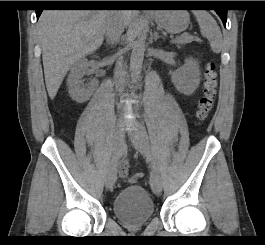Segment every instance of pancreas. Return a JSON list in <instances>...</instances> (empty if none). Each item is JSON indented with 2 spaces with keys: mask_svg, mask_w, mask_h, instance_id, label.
I'll return each instance as SVG.
<instances>
[{
  "mask_svg": "<svg viewBox=\"0 0 265 245\" xmlns=\"http://www.w3.org/2000/svg\"><path fill=\"white\" fill-rule=\"evenodd\" d=\"M194 38L181 37L175 43L177 44H187L193 41Z\"/></svg>",
  "mask_w": 265,
  "mask_h": 245,
  "instance_id": "cf45deb5",
  "label": "pancreas"
}]
</instances>
